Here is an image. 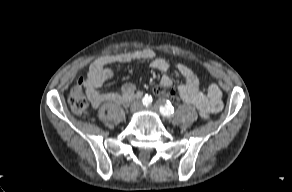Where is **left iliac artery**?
Listing matches in <instances>:
<instances>
[{
    "instance_id": "left-iliac-artery-1",
    "label": "left iliac artery",
    "mask_w": 292,
    "mask_h": 192,
    "mask_svg": "<svg viewBox=\"0 0 292 192\" xmlns=\"http://www.w3.org/2000/svg\"><path fill=\"white\" fill-rule=\"evenodd\" d=\"M160 113L165 117H170L174 114V108L170 102H166L164 105L159 107Z\"/></svg>"
}]
</instances>
